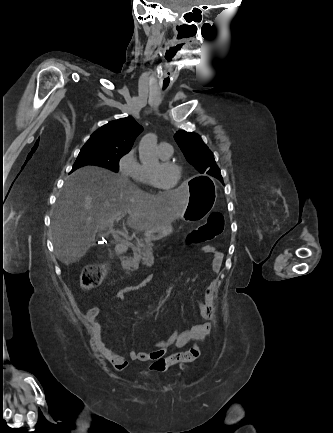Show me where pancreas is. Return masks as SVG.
Returning <instances> with one entry per match:
<instances>
[{
	"label": "pancreas",
	"instance_id": "obj_1",
	"mask_svg": "<svg viewBox=\"0 0 333 433\" xmlns=\"http://www.w3.org/2000/svg\"><path fill=\"white\" fill-rule=\"evenodd\" d=\"M133 250V257L128 259L127 265L133 267L134 265H138L139 262H143V264H147L145 259L148 252L152 251L153 243L152 237L146 236L143 239H138L136 242L130 243L128 245Z\"/></svg>",
	"mask_w": 333,
	"mask_h": 433
}]
</instances>
